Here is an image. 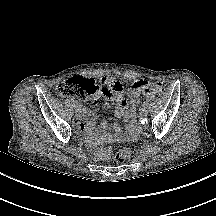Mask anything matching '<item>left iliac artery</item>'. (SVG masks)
I'll list each match as a JSON object with an SVG mask.
<instances>
[{"label": "left iliac artery", "instance_id": "44dca946", "mask_svg": "<svg viewBox=\"0 0 216 216\" xmlns=\"http://www.w3.org/2000/svg\"><path fill=\"white\" fill-rule=\"evenodd\" d=\"M141 107H146V102H141Z\"/></svg>", "mask_w": 216, "mask_h": 216}]
</instances>
